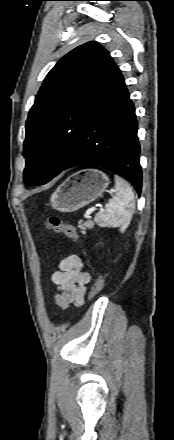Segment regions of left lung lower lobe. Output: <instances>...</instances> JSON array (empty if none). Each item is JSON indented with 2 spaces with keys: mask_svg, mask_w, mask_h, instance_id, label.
<instances>
[{
  "mask_svg": "<svg viewBox=\"0 0 174 440\" xmlns=\"http://www.w3.org/2000/svg\"><path fill=\"white\" fill-rule=\"evenodd\" d=\"M139 155L135 107L117 67L108 88L85 120L75 154L61 171L79 165L106 168L129 180L140 196Z\"/></svg>",
  "mask_w": 174,
  "mask_h": 440,
  "instance_id": "obj_1",
  "label": "left lung lower lobe"
}]
</instances>
